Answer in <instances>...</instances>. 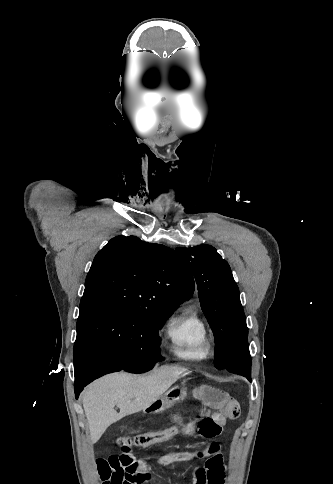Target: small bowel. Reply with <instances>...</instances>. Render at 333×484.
<instances>
[{"mask_svg":"<svg viewBox=\"0 0 333 484\" xmlns=\"http://www.w3.org/2000/svg\"><path fill=\"white\" fill-rule=\"evenodd\" d=\"M194 397L201 401L210 412L199 414L190 419L183 435H200L209 440L206 448L201 451H188L171 454L164 457L160 465L172 461L196 462L206 458L203 467H198L194 473L193 484H224L226 466L219 452L217 442L213 441L221 434L227 419L236 418L239 414V405L236 400L226 392L208 385H200L193 390ZM179 414H174L172 423H183ZM137 435V433L135 434ZM134 446H120L119 455H111L106 459L98 460L100 473L106 475L108 484H155L156 478L144 461L133 452Z\"/></svg>","mask_w":333,"mask_h":484,"instance_id":"small-bowel-1","label":"small bowel"}]
</instances>
